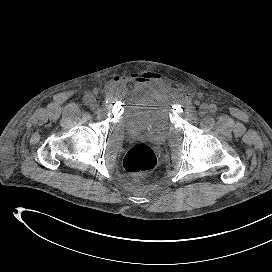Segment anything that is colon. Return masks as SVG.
Returning <instances> with one entry per match:
<instances>
[{
  "label": "colon",
  "mask_w": 272,
  "mask_h": 272,
  "mask_svg": "<svg viewBox=\"0 0 272 272\" xmlns=\"http://www.w3.org/2000/svg\"><path fill=\"white\" fill-rule=\"evenodd\" d=\"M123 165L130 173L144 174L152 171L156 167L157 157L149 146L139 144L126 153Z\"/></svg>",
  "instance_id": "1"
}]
</instances>
